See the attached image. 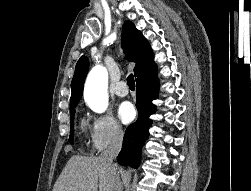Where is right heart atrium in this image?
Instances as JSON below:
<instances>
[{
	"label": "right heart atrium",
	"mask_w": 251,
	"mask_h": 191,
	"mask_svg": "<svg viewBox=\"0 0 251 191\" xmlns=\"http://www.w3.org/2000/svg\"><path fill=\"white\" fill-rule=\"evenodd\" d=\"M123 137L121 126L111 115H98L93 119L90 139L94 150L101 152L111 145H117Z\"/></svg>",
	"instance_id": "right-heart-atrium-1"
}]
</instances>
